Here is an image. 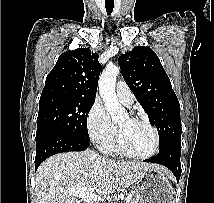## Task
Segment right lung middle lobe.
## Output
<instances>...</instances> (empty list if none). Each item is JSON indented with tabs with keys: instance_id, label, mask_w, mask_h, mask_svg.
<instances>
[{
	"instance_id": "obj_1",
	"label": "right lung middle lobe",
	"mask_w": 214,
	"mask_h": 203,
	"mask_svg": "<svg viewBox=\"0 0 214 203\" xmlns=\"http://www.w3.org/2000/svg\"><path fill=\"white\" fill-rule=\"evenodd\" d=\"M94 99L48 97L40 99L36 142L60 135L89 142L87 116Z\"/></svg>"
}]
</instances>
